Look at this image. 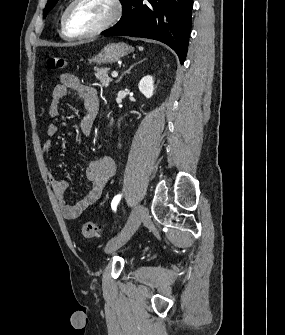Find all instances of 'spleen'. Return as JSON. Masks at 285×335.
I'll return each mask as SVG.
<instances>
[{"instance_id": "obj_1", "label": "spleen", "mask_w": 285, "mask_h": 335, "mask_svg": "<svg viewBox=\"0 0 285 335\" xmlns=\"http://www.w3.org/2000/svg\"><path fill=\"white\" fill-rule=\"evenodd\" d=\"M140 52H143L144 48H139Z\"/></svg>"}]
</instances>
